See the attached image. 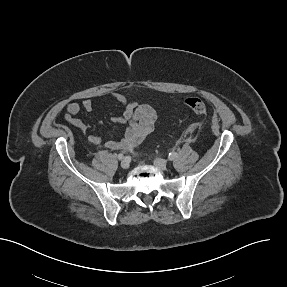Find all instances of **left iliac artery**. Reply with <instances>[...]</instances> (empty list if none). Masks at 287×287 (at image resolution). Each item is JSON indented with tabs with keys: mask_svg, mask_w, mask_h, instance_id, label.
I'll list each match as a JSON object with an SVG mask.
<instances>
[{
	"mask_svg": "<svg viewBox=\"0 0 287 287\" xmlns=\"http://www.w3.org/2000/svg\"><path fill=\"white\" fill-rule=\"evenodd\" d=\"M176 157H177V153L176 152L169 153V156H168L169 160H174Z\"/></svg>",
	"mask_w": 287,
	"mask_h": 287,
	"instance_id": "1",
	"label": "left iliac artery"
}]
</instances>
